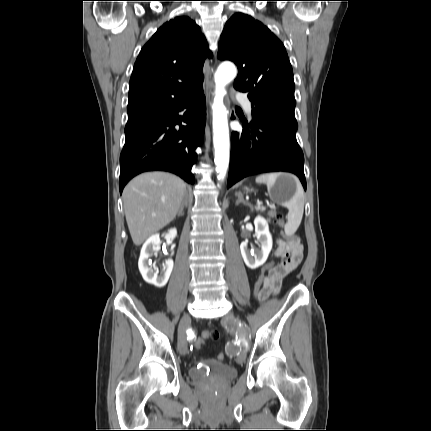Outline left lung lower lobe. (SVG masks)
<instances>
[{
  "instance_id": "0a47b994",
  "label": "left lung lower lobe",
  "mask_w": 431,
  "mask_h": 431,
  "mask_svg": "<svg viewBox=\"0 0 431 431\" xmlns=\"http://www.w3.org/2000/svg\"><path fill=\"white\" fill-rule=\"evenodd\" d=\"M243 122V131L231 135L227 187L252 174L285 171L296 174L306 190L304 156L296 140L297 122L253 113L250 123Z\"/></svg>"
}]
</instances>
